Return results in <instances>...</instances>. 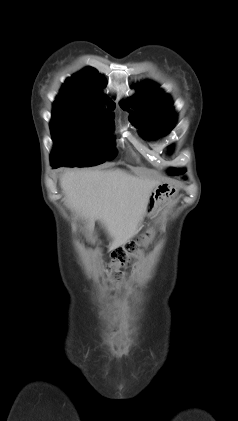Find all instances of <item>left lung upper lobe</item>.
Returning <instances> with one entry per match:
<instances>
[{
    "label": "left lung upper lobe",
    "mask_w": 238,
    "mask_h": 421,
    "mask_svg": "<svg viewBox=\"0 0 238 421\" xmlns=\"http://www.w3.org/2000/svg\"><path fill=\"white\" fill-rule=\"evenodd\" d=\"M142 88V97L135 96L129 98L127 104L121 103V107L126 110V106H132L137 112L132 113L129 120L146 132L148 137H160L167 134L175 124V115L172 114V101L169 96L164 95L154 83H145ZM184 170H171L177 175L183 174Z\"/></svg>",
    "instance_id": "left-lung-upper-lobe-1"
}]
</instances>
